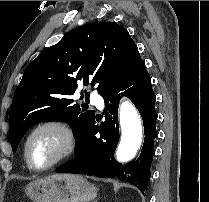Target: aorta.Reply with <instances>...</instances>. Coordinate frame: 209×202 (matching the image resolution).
<instances>
[{
  "label": "aorta",
  "instance_id": "1",
  "mask_svg": "<svg viewBox=\"0 0 209 202\" xmlns=\"http://www.w3.org/2000/svg\"><path fill=\"white\" fill-rule=\"evenodd\" d=\"M121 139L116 150V159L127 162L133 159L142 142V123L136 108L128 100L119 108Z\"/></svg>",
  "mask_w": 209,
  "mask_h": 202
}]
</instances>
